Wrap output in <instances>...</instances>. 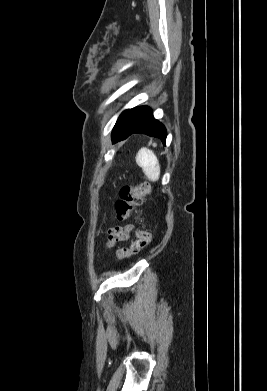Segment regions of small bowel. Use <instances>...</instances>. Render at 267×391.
Listing matches in <instances>:
<instances>
[{
    "label": "small bowel",
    "mask_w": 267,
    "mask_h": 391,
    "mask_svg": "<svg viewBox=\"0 0 267 391\" xmlns=\"http://www.w3.org/2000/svg\"><path fill=\"white\" fill-rule=\"evenodd\" d=\"M132 225H127L125 227H114L108 231V242L107 246L111 247L118 241H125L129 238L130 231L132 230Z\"/></svg>",
    "instance_id": "1"
}]
</instances>
